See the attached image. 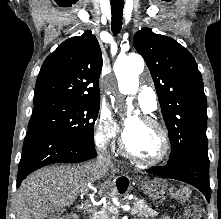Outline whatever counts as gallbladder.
Instances as JSON below:
<instances>
[{
  "instance_id": "bac80fb5",
  "label": "gallbladder",
  "mask_w": 221,
  "mask_h": 219,
  "mask_svg": "<svg viewBox=\"0 0 221 219\" xmlns=\"http://www.w3.org/2000/svg\"><path fill=\"white\" fill-rule=\"evenodd\" d=\"M64 209H53L51 210L46 219H61L60 216L63 213Z\"/></svg>"
}]
</instances>
